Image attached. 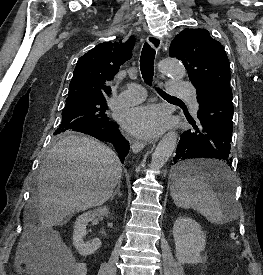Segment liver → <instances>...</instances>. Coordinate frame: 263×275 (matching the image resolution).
Listing matches in <instances>:
<instances>
[{
    "label": "liver",
    "instance_id": "liver-1",
    "mask_svg": "<svg viewBox=\"0 0 263 275\" xmlns=\"http://www.w3.org/2000/svg\"><path fill=\"white\" fill-rule=\"evenodd\" d=\"M122 166L113 150L92 138L68 135L48 153L38 175L37 205L43 227L102 205L120 182Z\"/></svg>",
    "mask_w": 263,
    "mask_h": 275
}]
</instances>
